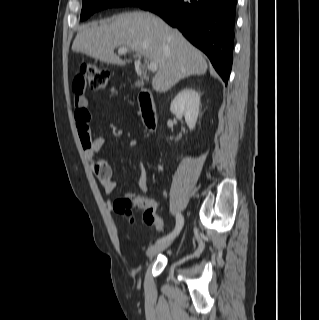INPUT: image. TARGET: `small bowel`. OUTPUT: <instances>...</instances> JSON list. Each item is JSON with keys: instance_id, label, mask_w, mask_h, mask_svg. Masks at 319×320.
Instances as JSON below:
<instances>
[{"instance_id": "c3829d8e", "label": "small bowel", "mask_w": 319, "mask_h": 320, "mask_svg": "<svg viewBox=\"0 0 319 320\" xmlns=\"http://www.w3.org/2000/svg\"><path fill=\"white\" fill-rule=\"evenodd\" d=\"M76 96L74 100L75 105V121L77 124L80 141L85 153L86 158L92 163L95 174L100 181L103 190L106 194H111L115 190L116 182L112 177L110 169H107L108 164L105 160L96 159L97 153L101 150L105 144V136H97L92 138L91 134H86L83 131L82 125L84 121H89L91 117L90 105L88 99L84 95V87L78 89L74 86ZM138 187L141 191L147 192L150 190L151 185L147 181L144 167L140 164L138 175ZM141 199V204L138 208L144 212L149 210L156 214V203L154 200L148 197H131Z\"/></svg>"}]
</instances>
